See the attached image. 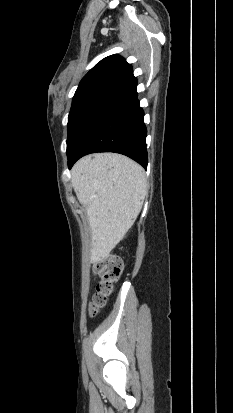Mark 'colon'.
<instances>
[{"label": "colon", "instance_id": "obj_1", "mask_svg": "<svg viewBox=\"0 0 233 413\" xmlns=\"http://www.w3.org/2000/svg\"><path fill=\"white\" fill-rule=\"evenodd\" d=\"M94 273L99 276L96 292L90 305V314L95 315L102 308L114 290V285L122 273V261L117 256H109L94 265Z\"/></svg>", "mask_w": 233, "mask_h": 413}]
</instances>
